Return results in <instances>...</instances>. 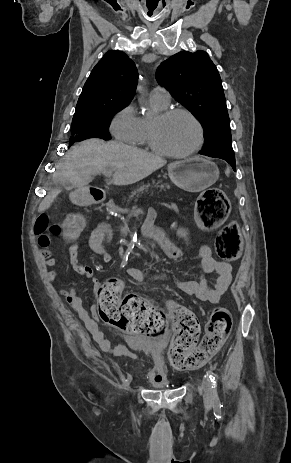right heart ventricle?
Here are the masks:
<instances>
[{"label":"right heart ventricle","mask_w":291,"mask_h":463,"mask_svg":"<svg viewBox=\"0 0 291 463\" xmlns=\"http://www.w3.org/2000/svg\"><path fill=\"white\" fill-rule=\"evenodd\" d=\"M154 104L160 108V109H165L166 106L165 105H161L155 101H153ZM140 119V132H139V136L137 138V141L135 144L137 145H150L149 144V124L150 122L147 121L146 119L144 118H139Z\"/></svg>","instance_id":"right-heart-ventricle-1"}]
</instances>
